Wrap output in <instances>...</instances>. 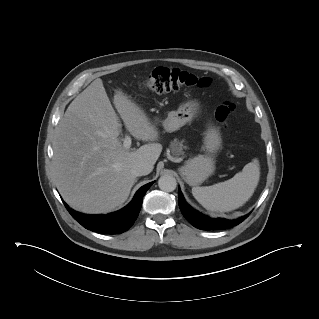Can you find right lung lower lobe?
<instances>
[{
	"label": "right lung lower lobe",
	"instance_id": "1",
	"mask_svg": "<svg viewBox=\"0 0 319 319\" xmlns=\"http://www.w3.org/2000/svg\"><path fill=\"white\" fill-rule=\"evenodd\" d=\"M152 184L150 182L142 186L126 207L107 215H85L72 210L64 201L63 203L71 216L86 229L102 234H120L133 225L141 209L143 196Z\"/></svg>",
	"mask_w": 319,
	"mask_h": 319
}]
</instances>
